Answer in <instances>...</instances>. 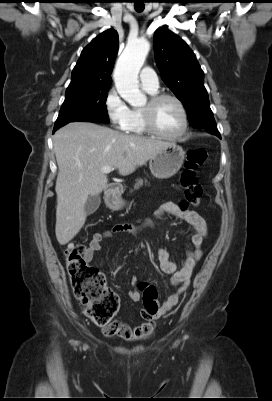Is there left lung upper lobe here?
Listing matches in <instances>:
<instances>
[{"instance_id": "1", "label": "left lung upper lobe", "mask_w": 272, "mask_h": 401, "mask_svg": "<svg viewBox=\"0 0 272 401\" xmlns=\"http://www.w3.org/2000/svg\"><path fill=\"white\" fill-rule=\"evenodd\" d=\"M154 54L162 80L183 103L191 126L216 127L204 87V73L186 42L167 28H158L154 34Z\"/></svg>"}]
</instances>
